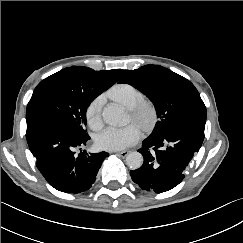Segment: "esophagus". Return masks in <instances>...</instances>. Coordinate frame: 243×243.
Listing matches in <instances>:
<instances>
[{
  "label": "esophagus",
  "mask_w": 243,
  "mask_h": 243,
  "mask_svg": "<svg viewBox=\"0 0 243 243\" xmlns=\"http://www.w3.org/2000/svg\"><path fill=\"white\" fill-rule=\"evenodd\" d=\"M129 151H117L116 154L121 157H126L128 155Z\"/></svg>",
  "instance_id": "obj_1"
}]
</instances>
